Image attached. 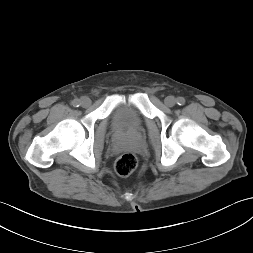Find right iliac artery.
Listing matches in <instances>:
<instances>
[{"label":"right iliac artery","mask_w":253,"mask_h":253,"mask_svg":"<svg viewBox=\"0 0 253 253\" xmlns=\"http://www.w3.org/2000/svg\"><path fill=\"white\" fill-rule=\"evenodd\" d=\"M72 105H73L74 107H79V106H80V100H79V99L73 100V101H72Z\"/></svg>","instance_id":"right-iliac-artery-1"}]
</instances>
